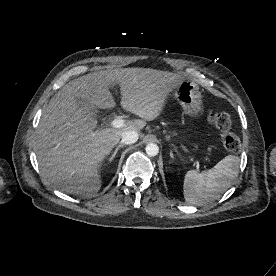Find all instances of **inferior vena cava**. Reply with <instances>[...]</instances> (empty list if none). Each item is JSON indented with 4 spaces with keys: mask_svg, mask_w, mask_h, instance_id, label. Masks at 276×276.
Listing matches in <instances>:
<instances>
[{
    "mask_svg": "<svg viewBox=\"0 0 276 276\" xmlns=\"http://www.w3.org/2000/svg\"><path fill=\"white\" fill-rule=\"evenodd\" d=\"M138 137H139V135H138L137 131L128 130L122 134V142L124 144H133V143L137 142Z\"/></svg>",
    "mask_w": 276,
    "mask_h": 276,
    "instance_id": "inferior-vena-cava-1",
    "label": "inferior vena cava"
}]
</instances>
